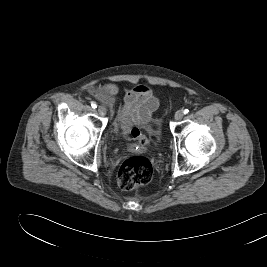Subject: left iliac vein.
Listing matches in <instances>:
<instances>
[{
	"label": "left iliac vein",
	"instance_id": "left-iliac-vein-1",
	"mask_svg": "<svg viewBox=\"0 0 267 267\" xmlns=\"http://www.w3.org/2000/svg\"><path fill=\"white\" fill-rule=\"evenodd\" d=\"M184 116V112L182 110H178L176 113H175V119L176 120H181Z\"/></svg>",
	"mask_w": 267,
	"mask_h": 267
}]
</instances>
